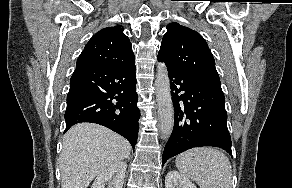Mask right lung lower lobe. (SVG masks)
I'll return each mask as SVG.
<instances>
[{"label":"right lung lower lobe","instance_id":"1","mask_svg":"<svg viewBox=\"0 0 292 188\" xmlns=\"http://www.w3.org/2000/svg\"><path fill=\"white\" fill-rule=\"evenodd\" d=\"M135 62L121 66L78 65L70 80L66 130L80 122L103 125L135 147L140 111Z\"/></svg>","mask_w":292,"mask_h":188}]
</instances>
